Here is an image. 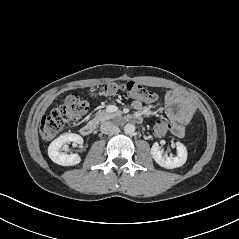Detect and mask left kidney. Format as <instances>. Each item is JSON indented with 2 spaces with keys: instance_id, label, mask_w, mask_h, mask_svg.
<instances>
[{
  "instance_id": "5707ae66",
  "label": "left kidney",
  "mask_w": 239,
  "mask_h": 239,
  "mask_svg": "<svg viewBox=\"0 0 239 239\" xmlns=\"http://www.w3.org/2000/svg\"><path fill=\"white\" fill-rule=\"evenodd\" d=\"M177 146V155L176 156H168L161 151V147L156 142L153 144L151 148V155L155 162L159 164L161 167L167 169H173L181 167L185 164L187 160V150L186 147L180 143H176Z\"/></svg>"
}]
</instances>
